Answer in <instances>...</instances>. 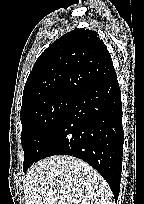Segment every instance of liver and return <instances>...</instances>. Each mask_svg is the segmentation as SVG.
Returning <instances> with one entry per match:
<instances>
[{
    "mask_svg": "<svg viewBox=\"0 0 144 204\" xmlns=\"http://www.w3.org/2000/svg\"><path fill=\"white\" fill-rule=\"evenodd\" d=\"M25 204H113L104 178L86 162L66 155L34 164L23 180Z\"/></svg>",
    "mask_w": 144,
    "mask_h": 204,
    "instance_id": "1",
    "label": "liver"
}]
</instances>
